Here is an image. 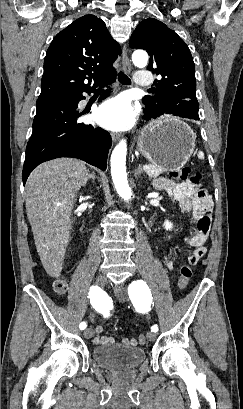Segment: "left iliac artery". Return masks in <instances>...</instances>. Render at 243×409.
Returning a JSON list of instances; mask_svg holds the SVG:
<instances>
[{
    "instance_id": "obj_1",
    "label": "left iliac artery",
    "mask_w": 243,
    "mask_h": 409,
    "mask_svg": "<svg viewBox=\"0 0 243 409\" xmlns=\"http://www.w3.org/2000/svg\"><path fill=\"white\" fill-rule=\"evenodd\" d=\"M148 291V286L142 280L132 282L128 289L129 297L134 305H136L138 300L142 297H148ZM151 331L156 333L158 331L157 325L152 326Z\"/></svg>"
}]
</instances>
